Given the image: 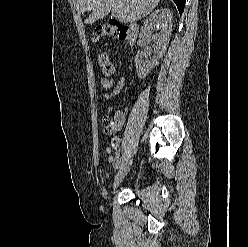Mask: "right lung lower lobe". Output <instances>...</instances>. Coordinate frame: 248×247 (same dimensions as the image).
Here are the masks:
<instances>
[{
	"label": "right lung lower lobe",
	"mask_w": 248,
	"mask_h": 247,
	"mask_svg": "<svg viewBox=\"0 0 248 247\" xmlns=\"http://www.w3.org/2000/svg\"><path fill=\"white\" fill-rule=\"evenodd\" d=\"M177 5L180 15L182 14L186 0H173Z\"/></svg>",
	"instance_id": "obj_1"
}]
</instances>
